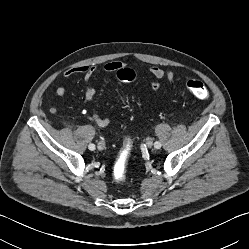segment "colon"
Returning a JSON list of instances; mask_svg holds the SVG:
<instances>
[{"label":"colon","instance_id":"colon-1","mask_svg":"<svg viewBox=\"0 0 249 249\" xmlns=\"http://www.w3.org/2000/svg\"><path fill=\"white\" fill-rule=\"evenodd\" d=\"M136 75L135 72L128 68H121L117 71V78L121 81L131 82L135 79ZM186 89L192 93L195 97L198 99H207L210 96L209 90L207 87L198 80H188L185 83ZM126 148L121 157L118 159L115 167H114V173L117 180L124 178L126 174L127 169V163H126V154H127Z\"/></svg>","mask_w":249,"mask_h":249}]
</instances>
